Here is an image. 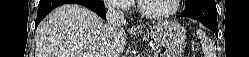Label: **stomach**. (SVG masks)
I'll return each instance as SVG.
<instances>
[{
  "label": "stomach",
  "mask_w": 249,
  "mask_h": 57,
  "mask_svg": "<svg viewBox=\"0 0 249 57\" xmlns=\"http://www.w3.org/2000/svg\"><path fill=\"white\" fill-rule=\"evenodd\" d=\"M147 35L165 48L162 57H180L186 46V29L177 22L157 23L147 32Z\"/></svg>",
  "instance_id": "1"
}]
</instances>
